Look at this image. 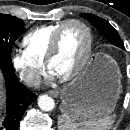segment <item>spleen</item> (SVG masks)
Wrapping results in <instances>:
<instances>
[{
  "mask_svg": "<svg viewBox=\"0 0 130 130\" xmlns=\"http://www.w3.org/2000/svg\"><path fill=\"white\" fill-rule=\"evenodd\" d=\"M115 121V114L107 115L98 120H82L74 122L66 114L58 118V130H108Z\"/></svg>",
  "mask_w": 130,
  "mask_h": 130,
  "instance_id": "3e777b00",
  "label": "spleen"
}]
</instances>
